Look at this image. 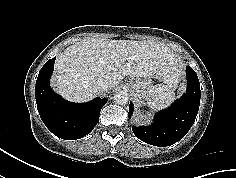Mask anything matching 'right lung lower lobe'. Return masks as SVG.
<instances>
[{
    "mask_svg": "<svg viewBox=\"0 0 236 178\" xmlns=\"http://www.w3.org/2000/svg\"><path fill=\"white\" fill-rule=\"evenodd\" d=\"M55 59L48 60L38 74L35 91L37 109L43 123L54 135L65 140L79 139L93 130L108 99L95 98L81 104L64 100L49 85Z\"/></svg>",
    "mask_w": 236,
    "mask_h": 178,
    "instance_id": "98d812e1",
    "label": "right lung lower lobe"
}]
</instances>
